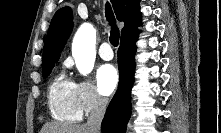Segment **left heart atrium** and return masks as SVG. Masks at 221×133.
Segmentation results:
<instances>
[{"instance_id": "obj_1", "label": "left heart atrium", "mask_w": 221, "mask_h": 133, "mask_svg": "<svg viewBox=\"0 0 221 133\" xmlns=\"http://www.w3.org/2000/svg\"><path fill=\"white\" fill-rule=\"evenodd\" d=\"M97 87L104 96H109L118 85L119 77L116 68L111 64L102 65L96 75Z\"/></svg>"}]
</instances>
